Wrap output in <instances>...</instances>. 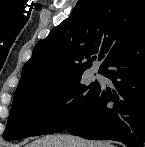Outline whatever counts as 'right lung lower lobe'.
Wrapping results in <instances>:
<instances>
[{
  "mask_svg": "<svg viewBox=\"0 0 145 147\" xmlns=\"http://www.w3.org/2000/svg\"><path fill=\"white\" fill-rule=\"evenodd\" d=\"M113 86H99L85 109L66 127L90 140H115L127 147L145 142V31L127 42L99 72Z\"/></svg>",
  "mask_w": 145,
  "mask_h": 147,
  "instance_id": "1",
  "label": "right lung lower lobe"
}]
</instances>
